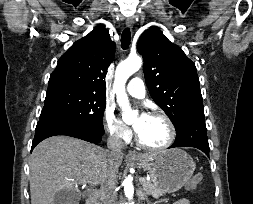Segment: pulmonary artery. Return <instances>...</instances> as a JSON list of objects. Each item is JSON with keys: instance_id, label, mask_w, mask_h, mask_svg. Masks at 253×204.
<instances>
[{"instance_id": "e3ab8cb5", "label": "pulmonary artery", "mask_w": 253, "mask_h": 204, "mask_svg": "<svg viewBox=\"0 0 253 204\" xmlns=\"http://www.w3.org/2000/svg\"><path fill=\"white\" fill-rule=\"evenodd\" d=\"M126 91L132 97L143 99L146 94L143 80L140 77L132 78L126 86Z\"/></svg>"}]
</instances>
